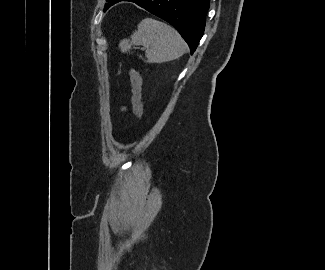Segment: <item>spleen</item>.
Listing matches in <instances>:
<instances>
[{"label":"spleen","instance_id":"1","mask_svg":"<svg viewBox=\"0 0 325 270\" xmlns=\"http://www.w3.org/2000/svg\"><path fill=\"white\" fill-rule=\"evenodd\" d=\"M132 45L146 48L148 63L172 61L186 52V44L179 33L170 25L152 18L143 19L130 39L120 41L119 48L127 52Z\"/></svg>","mask_w":325,"mask_h":270}]
</instances>
